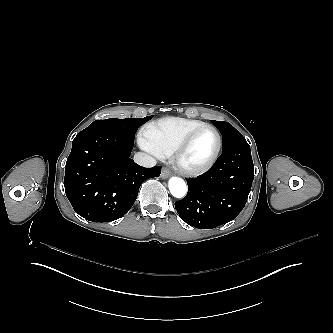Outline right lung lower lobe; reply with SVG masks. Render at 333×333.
Segmentation results:
<instances>
[{
	"label": "right lung lower lobe",
	"mask_w": 333,
	"mask_h": 333,
	"mask_svg": "<svg viewBox=\"0 0 333 333\" xmlns=\"http://www.w3.org/2000/svg\"><path fill=\"white\" fill-rule=\"evenodd\" d=\"M133 144L134 138L102 130L75 137L64 186L77 214L92 222L117 220L134 204L140 185L160 175V166L144 168L130 158Z\"/></svg>",
	"instance_id": "right-lung-lower-lobe-1"
}]
</instances>
